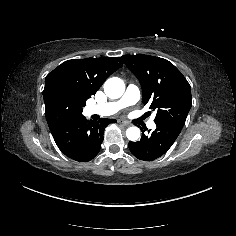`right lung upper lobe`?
I'll return each mask as SVG.
<instances>
[{"label": "right lung upper lobe", "instance_id": "obj_1", "mask_svg": "<svg viewBox=\"0 0 236 236\" xmlns=\"http://www.w3.org/2000/svg\"><path fill=\"white\" fill-rule=\"evenodd\" d=\"M122 64V57L65 61L46 76L43 97L51 90H58L69 103L83 107Z\"/></svg>", "mask_w": 236, "mask_h": 236}]
</instances>
